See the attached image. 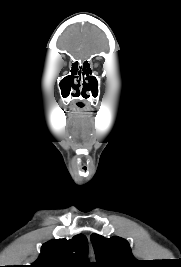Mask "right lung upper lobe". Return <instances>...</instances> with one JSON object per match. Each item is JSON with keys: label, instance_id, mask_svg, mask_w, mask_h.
<instances>
[{"label": "right lung upper lobe", "instance_id": "1", "mask_svg": "<svg viewBox=\"0 0 181 267\" xmlns=\"http://www.w3.org/2000/svg\"><path fill=\"white\" fill-rule=\"evenodd\" d=\"M88 252V240L83 234L70 240L54 239L42 245L39 258L31 267H90L85 262Z\"/></svg>", "mask_w": 181, "mask_h": 267}]
</instances>
